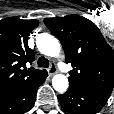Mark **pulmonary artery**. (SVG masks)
I'll list each match as a JSON object with an SVG mask.
<instances>
[{"label":"pulmonary artery","mask_w":114,"mask_h":114,"mask_svg":"<svg viewBox=\"0 0 114 114\" xmlns=\"http://www.w3.org/2000/svg\"><path fill=\"white\" fill-rule=\"evenodd\" d=\"M59 68L63 71V72H67V68L63 63H59Z\"/></svg>","instance_id":"pulmonary-artery-1"}]
</instances>
